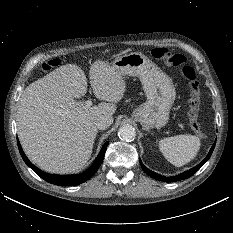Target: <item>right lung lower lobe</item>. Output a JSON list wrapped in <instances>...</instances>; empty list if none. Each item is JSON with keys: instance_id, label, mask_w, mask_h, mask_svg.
<instances>
[{"instance_id": "98d812e1", "label": "right lung lower lobe", "mask_w": 233, "mask_h": 233, "mask_svg": "<svg viewBox=\"0 0 233 233\" xmlns=\"http://www.w3.org/2000/svg\"><path fill=\"white\" fill-rule=\"evenodd\" d=\"M17 143H18V148L20 151V154L23 158V160L25 161V163L36 173L38 174L41 178H43L44 180H46L49 183L55 184V185H59V186H73V185H78L81 184L83 182H85L86 180H88L89 178H91L95 172L98 170V168L100 167L103 159H104V155H105V151L106 148L108 146V142H106L100 153L98 154V156L96 157L95 161L93 162V164L91 165L90 168H88L85 172L79 174V175H54V174H48L45 172H42L40 169H38L37 167H35L26 157V155L24 154L20 143L17 139Z\"/></svg>"}]
</instances>
